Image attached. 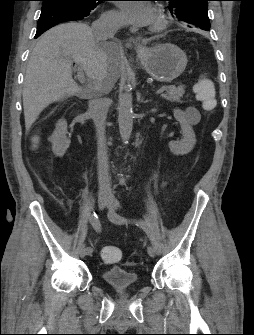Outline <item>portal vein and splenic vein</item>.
Segmentation results:
<instances>
[{
    "instance_id": "1",
    "label": "portal vein and splenic vein",
    "mask_w": 254,
    "mask_h": 335,
    "mask_svg": "<svg viewBox=\"0 0 254 335\" xmlns=\"http://www.w3.org/2000/svg\"><path fill=\"white\" fill-rule=\"evenodd\" d=\"M74 68L77 70V79L81 84H84L86 82V78L84 76L82 67L76 63ZM165 90V87H161L156 91V95L161 94Z\"/></svg>"
}]
</instances>
